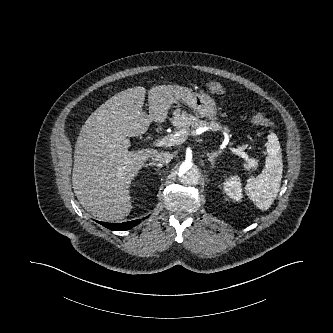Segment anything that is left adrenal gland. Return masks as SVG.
<instances>
[{
  "instance_id": "left-adrenal-gland-1",
  "label": "left adrenal gland",
  "mask_w": 333,
  "mask_h": 333,
  "mask_svg": "<svg viewBox=\"0 0 333 333\" xmlns=\"http://www.w3.org/2000/svg\"><path fill=\"white\" fill-rule=\"evenodd\" d=\"M209 161L211 162L212 167L215 165V158L217 157V153H208L207 154Z\"/></svg>"
}]
</instances>
